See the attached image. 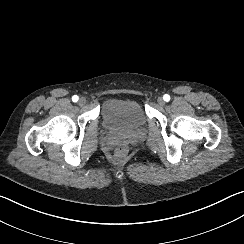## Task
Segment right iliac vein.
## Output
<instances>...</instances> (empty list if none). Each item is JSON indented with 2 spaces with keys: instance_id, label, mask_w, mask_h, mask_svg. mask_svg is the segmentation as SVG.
Listing matches in <instances>:
<instances>
[{
  "instance_id": "obj_1",
  "label": "right iliac vein",
  "mask_w": 244,
  "mask_h": 244,
  "mask_svg": "<svg viewBox=\"0 0 244 244\" xmlns=\"http://www.w3.org/2000/svg\"><path fill=\"white\" fill-rule=\"evenodd\" d=\"M85 104H86V99H85L84 97H81V98L79 99V105L83 106V105H85Z\"/></svg>"
}]
</instances>
